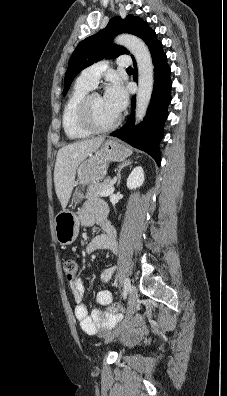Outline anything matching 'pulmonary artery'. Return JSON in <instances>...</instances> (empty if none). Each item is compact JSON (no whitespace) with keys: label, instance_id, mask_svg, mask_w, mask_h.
<instances>
[{"label":"pulmonary artery","instance_id":"obj_1","mask_svg":"<svg viewBox=\"0 0 227 396\" xmlns=\"http://www.w3.org/2000/svg\"><path fill=\"white\" fill-rule=\"evenodd\" d=\"M116 64L119 67H128L131 65V59L128 56H120L116 60ZM108 65L106 62H98L87 67L79 77V80L86 83L90 87L94 88L103 72L107 69Z\"/></svg>","mask_w":227,"mask_h":396}]
</instances>
